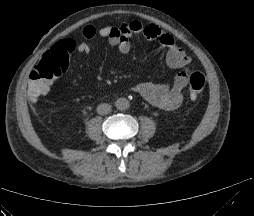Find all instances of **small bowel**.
<instances>
[{"label": "small bowel", "mask_w": 254, "mask_h": 216, "mask_svg": "<svg viewBox=\"0 0 254 216\" xmlns=\"http://www.w3.org/2000/svg\"><path fill=\"white\" fill-rule=\"evenodd\" d=\"M82 34L85 39L96 37L104 38L118 50L119 56H126L131 50V37L135 34L158 41L166 48V63L171 69H179L171 81L160 83L144 82L134 86L131 90L141 96L152 105L162 110H174L180 107L184 101L183 89L187 84V68L191 62L190 56L178 46L176 40L154 25H143L140 21L133 20L117 26H103L97 28L92 24L86 25ZM58 49L69 57L77 52L87 54L90 46L86 42L77 43L68 38L55 43L47 52ZM32 75V73H31ZM30 75V76H31Z\"/></svg>", "instance_id": "small-bowel-1"}]
</instances>
